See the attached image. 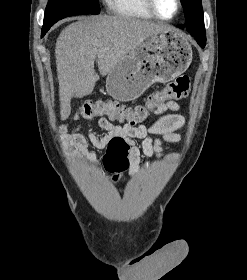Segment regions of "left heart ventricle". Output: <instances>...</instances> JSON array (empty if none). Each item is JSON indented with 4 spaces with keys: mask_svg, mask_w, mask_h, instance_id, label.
I'll list each match as a JSON object with an SVG mask.
<instances>
[{
    "mask_svg": "<svg viewBox=\"0 0 247 280\" xmlns=\"http://www.w3.org/2000/svg\"><path fill=\"white\" fill-rule=\"evenodd\" d=\"M154 5L159 15L164 18H171L177 8L176 0H154Z\"/></svg>",
    "mask_w": 247,
    "mask_h": 280,
    "instance_id": "left-heart-ventricle-1",
    "label": "left heart ventricle"
}]
</instances>
